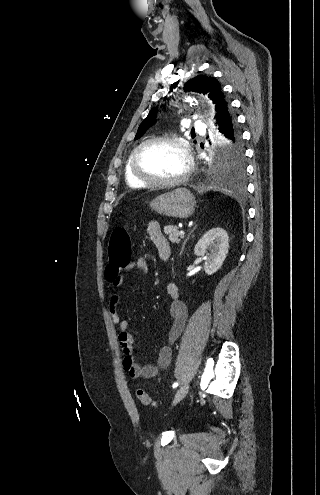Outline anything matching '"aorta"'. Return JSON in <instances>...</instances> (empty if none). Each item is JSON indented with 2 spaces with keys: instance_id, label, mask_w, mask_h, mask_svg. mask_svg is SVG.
<instances>
[{
  "instance_id": "1",
  "label": "aorta",
  "mask_w": 320,
  "mask_h": 495,
  "mask_svg": "<svg viewBox=\"0 0 320 495\" xmlns=\"http://www.w3.org/2000/svg\"><path fill=\"white\" fill-rule=\"evenodd\" d=\"M217 182L222 183V184H224V185H225V184H227V182H226V181H224V179H218V180H217Z\"/></svg>"
}]
</instances>
